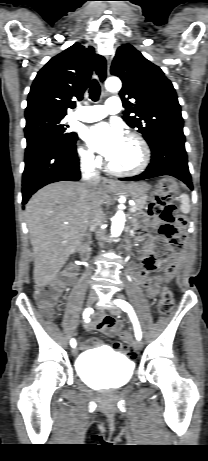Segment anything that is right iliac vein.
<instances>
[{
	"label": "right iliac vein",
	"instance_id": "obj_1",
	"mask_svg": "<svg viewBox=\"0 0 208 461\" xmlns=\"http://www.w3.org/2000/svg\"><path fill=\"white\" fill-rule=\"evenodd\" d=\"M95 300H96V295H95V293H94V292H90V293L88 294V297H87L86 305H87L88 307L92 306L93 303L95 302ZM71 353H72L73 356H76L77 353H78V349H77L76 347H74V348L71 350Z\"/></svg>",
	"mask_w": 208,
	"mask_h": 461
}]
</instances>
